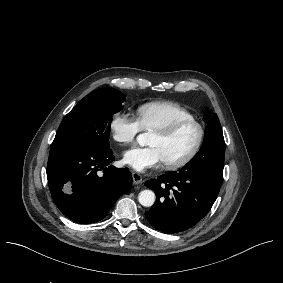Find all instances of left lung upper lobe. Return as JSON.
Wrapping results in <instances>:
<instances>
[{"instance_id":"5c2ea615","label":"left lung upper lobe","mask_w":283,"mask_h":283,"mask_svg":"<svg viewBox=\"0 0 283 283\" xmlns=\"http://www.w3.org/2000/svg\"><path fill=\"white\" fill-rule=\"evenodd\" d=\"M208 124L205 138L199 152L179 171L190 170L208 174L215 183L221 185L225 155V142L219 119L216 114L210 116L208 109L204 113Z\"/></svg>"}]
</instances>
